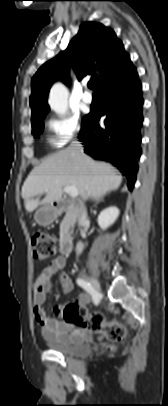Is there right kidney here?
Wrapping results in <instances>:
<instances>
[{
    "label": "right kidney",
    "mask_w": 168,
    "mask_h": 406,
    "mask_svg": "<svg viewBox=\"0 0 168 406\" xmlns=\"http://www.w3.org/2000/svg\"><path fill=\"white\" fill-rule=\"evenodd\" d=\"M118 216H119V209L117 207L111 206V207L104 209L100 213V215L98 216V219H97L100 228L102 230L107 229L109 226H111L116 221ZM82 248H83V244L81 242H79L77 244V248H76L77 253H80L82 251Z\"/></svg>",
    "instance_id": "1"
}]
</instances>
